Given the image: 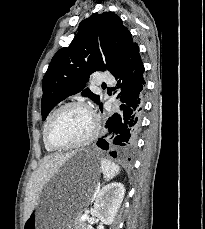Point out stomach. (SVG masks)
Masks as SVG:
<instances>
[{"label": "stomach", "mask_w": 205, "mask_h": 229, "mask_svg": "<svg viewBox=\"0 0 205 229\" xmlns=\"http://www.w3.org/2000/svg\"><path fill=\"white\" fill-rule=\"evenodd\" d=\"M100 173L94 153L74 154L41 196L23 229H75V222L88 204Z\"/></svg>", "instance_id": "0dacf381"}]
</instances>
